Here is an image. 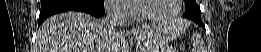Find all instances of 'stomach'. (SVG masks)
Here are the masks:
<instances>
[{
  "label": "stomach",
  "instance_id": "1",
  "mask_svg": "<svg viewBox=\"0 0 261 52\" xmlns=\"http://www.w3.org/2000/svg\"><path fill=\"white\" fill-rule=\"evenodd\" d=\"M146 30L150 32V35L140 40L141 52H169L158 30L149 26Z\"/></svg>",
  "mask_w": 261,
  "mask_h": 52
}]
</instances>
